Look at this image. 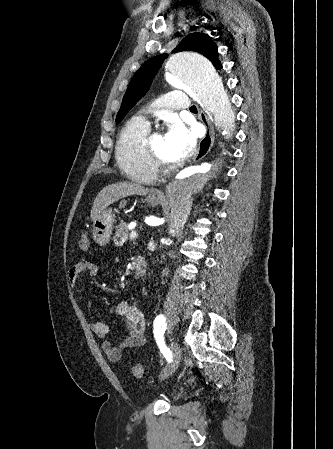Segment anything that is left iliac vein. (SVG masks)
<instances>
[{"label":"left iliac vein","instance_id":"1","mask_svg":"<svg viewBox=\"0 0 333 449\" xmlns=\"http://www.w3.org/2000/svg\"><path fill=\"white\" fill-rule=\"evenodd\" d=\"M170 349L172 353V363L160 374V380H163L172 375L178 368L181 361L182 351L179 344L176 341H172L170 343Z\"/></svg>","mask_w":333,"mask_h":449}]
</instances>
